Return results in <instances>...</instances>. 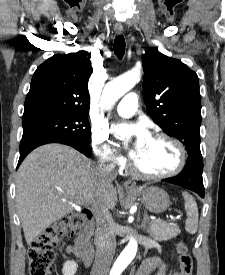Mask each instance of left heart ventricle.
I'll return each mask as SVG.
<instances>
[{
	"instance_id": "obj_1",
	"label": "left heart ventricle",
	"mask_w": 225,
	"mask_h": 275,
	"mask_svg": "<svg viewBox=\"0 0 225 275\" xmlns=\"http://www.w3.org/2000/svg\"><path fill=\"white\" fill-rule=\"evenodd\" d=\"M135 162L146 173H164L175 167L177 152L168 141L150 137L140 150Z\"/></svg>"
}]
</instances>
